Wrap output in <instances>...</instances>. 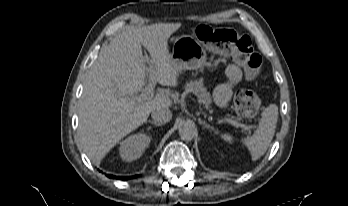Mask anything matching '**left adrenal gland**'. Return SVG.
Segmentation results:
<instances>
[{
  "label": "left adrenal gland",
  "instance_id": "1",
  "mask_svg": "<svg viewBox=\"0 0 348 206\" xmlns=\"http://www.w3.org/2000/svg\"><path fill=\"white\" fill-rule=\"evenodd\" d=\"M198 122L200 125H203V128H207V129H210V130H213L214 131V127L213 126H210L209 124H207L205 121L201 120L200 118L198 119Z\"/></svg>",
  "mask_w": 348,
  "mask_h": 206
}]
</instances>
